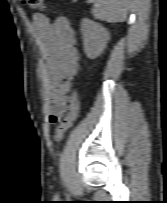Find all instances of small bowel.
<instances>
[{
    "label": "small bowel",
    "mask_w": 167,
    "mask_h": 203,
    "mask_svg": "<svg viewBox=\"0 0 167 203\" xmlns=\"http://www.w3.org/2000/svg\"><path fill=\"white\" fill-rule=\"evenodd\" d=\"M33 29L48 70L51 95L48 120L56 124L68 109V93L80 69L74 30L68 18L58 17L52 22L43 14L34 15Z\"/></svg>",
    "instance_id": "small-bowel-1"
}]
</instances>
